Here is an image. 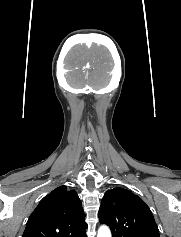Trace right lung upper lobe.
Returning a JSON list of instances; mask_svg holds the SVG:
<instances>
[{
    "label": "right lung upper lobe",
    "mask_w": 181,
    "mask_h": 237,
    "mask_svg": "<svg viewBox=\"0 0 181 237\" xmlns=\"http://www.w3.org/2000/svg\"><path fill=\"white\" fill-rule=\"evenodd\" d=\"M82 203L75 190L60 186L30 215L22 237H87Z\"/></svg>",
    "instance_id": "cb5924a9"
}]
</instances>
